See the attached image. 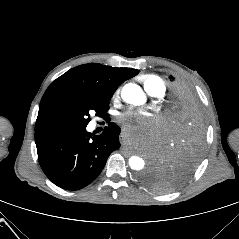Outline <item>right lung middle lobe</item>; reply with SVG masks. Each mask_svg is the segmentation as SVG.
Segmentation results:
<instances>
[{"label": "right lung middle lobe", "instance_id": "dd1d6c3e", "mask_svg": "<svg viewBox=\"0 0 239 239\" xmlns=\"http://www.w3.org/2000/svg\"><path fill=\"white\" fill-rule=\"evenodd\" d=\"M109 99L88 98L73 104H63L49 109L37 117L35 131L58 130L87 126L91 112L97 115L109 109Z\"/></svg>", "mask_w": 239, "mask_h": 239}]
</instances>
